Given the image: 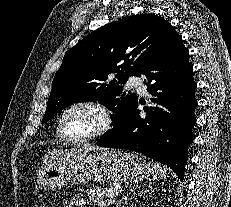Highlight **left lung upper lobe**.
<instances>
[{
	"label": "left lung upper lobe",
	"instance_id": "obj_1",
	"mask_svg": "<svg viewBox=\"0 0 231 207\" xmlns=\"http://www.w3.org/2000/svg\"><path fill=\"white\" fill-rule=\"evenodd\" d=\"M178 38L172 25L154 14L123 18L89 34L65 54L42 123L69 105L97 100L115 112V130L138 99L120 84L131 75L140 76L149 61Z\"/></svg>",
	"mask_w": 231,
	"mask_h": 207
}]
</instances>
